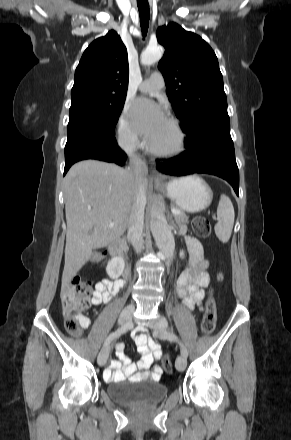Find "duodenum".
Masks as SVG:
<instances>
[{
    "mask_svg": "<svg viewBox=\"0 0 291 440\" xmlns=\"http://www.w3.org/2000/svg\"><path fill=\"white\" fill-rule=\"evenodd\" d=\"M126 243L124 240L117 239L110 245V253L113 259L122 266L123 278L128 277V267L124 263Z\"/></svg>",
    "mask_w": 291,
    "mask_h": 440,
    "instance_id": "1",
    "label": "duodenum"
}]
</instances>
